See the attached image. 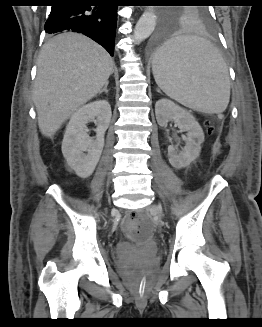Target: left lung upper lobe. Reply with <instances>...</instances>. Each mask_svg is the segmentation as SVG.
<instances>
[{"label":"left lung upper lobe","instance_id":"5c2ea615","mask_svg":"<svg viewBox=\"0 0 262 327\" xmlns=\"http://www.w3.org/2000/svg\"><path fill=\"white\" fill-rule=\"evenodd\" d=\"M180 3H203V0H177ZM210 26L212 16L205 6H189L184 9H166L162 12L161 28L170 29L178 24Z\"/></svg>","mask_w":262,"mask_h":327}]
</instances>
